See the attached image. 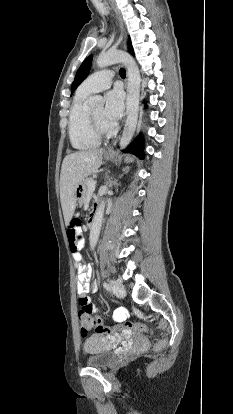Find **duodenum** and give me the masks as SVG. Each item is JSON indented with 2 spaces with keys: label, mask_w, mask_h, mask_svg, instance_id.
Listing matches in <instances>:
<instances>
[{
  "label": "duodenum",
  "mask_w": 233,
  "mask_h": 414,
  "mask_svg": "<svg viewBox=\"0 0 233 414\" xmlns=\"http://www.w3.org/2000/svg\"><path fill=\"white\" fill-rule=\"evenodd\" d=\"M95 220H96V211H93L91 213L90 219H89L90 224H93L95 222Z\"/></svg>",
  "instance_id": "410a0bca"
}]
</instances>
